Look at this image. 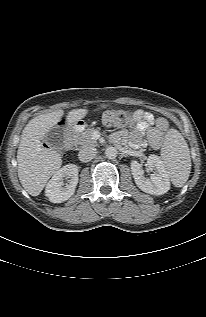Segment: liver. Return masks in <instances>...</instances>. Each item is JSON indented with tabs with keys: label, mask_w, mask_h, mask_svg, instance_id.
<instances>
[{
	"label": "liver",
	"mask_w": 206,
	"mask_h": 317,
	"mask_svg": "<svg viewBox=\"0 0 206 317\" xmlns=\"http://www.w3.org/2000/svg\"><path fill=\"white\" fill-rule=\"evenodd\" d=\"M106 107L107 105H101V108ZM87 114V109H73L68 112L66 122L68 125L74 124ZM63 115L62 109L41 114L31 119L22 131L17 151L18 177L23 188L31 196H38L49 178L62 165L61 155L43 147L42 141L49 130L60 122Z\"/></svg>",
	"instance_id": "liver-1"
}]
</instances>
